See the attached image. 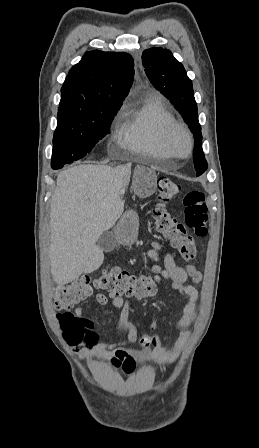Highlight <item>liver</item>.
Returning a JSON list of instances; mask_svg holds the SVG:
<instances>
[{
    "instance_id": "1",
    "label": "liver",
    "mask_w": 259,
    "mask_h": 448,
    "mask_svg": "<svg viewBox=\"0 0 259 448\" xmlns=\"http://www.w3.org/2000/svg\"><path fill=\"white\" fill-rule=\"evenodd\" d=\"M130 174L131 164L118 168L86 164L58 174L50 206L48 254L52 278L59 286L103 264L104 254L96 242L122 216L119 192L128 186Z\"/></svg>"
}]
</instances>
